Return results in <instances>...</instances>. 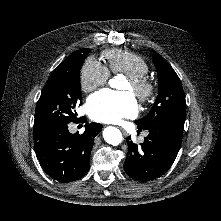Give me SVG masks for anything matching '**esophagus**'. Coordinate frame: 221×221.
I'll return each mask as SVG.
<instances>
[{
  "instance_id": "1",
  "label": "esophagus",
  "mask_w": 221,
  "mask_h": 221,
  "mask_svg": "<svg viewBox=\"0 0 221 221\" xmlns=\"http://www.w3.org/2000/svg\"><path fill=\"white\" fill-rule=\"evenodd\" d=\"M120 130L122 131V133H123L124 135H126V131H125L123 128H120Z\"/></svg>"
}]
</instances>
